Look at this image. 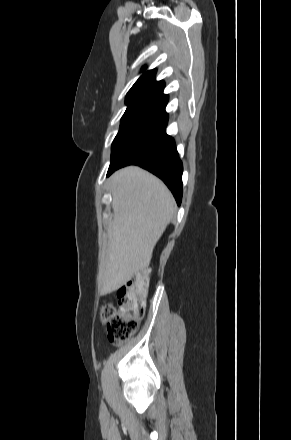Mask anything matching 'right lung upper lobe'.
<instances>
[{
  "label": "right lung upper lobe",
  "instance_id": "1",
  "mask_svg": "<svg viewBox=\"0 0 291 440\" xmlns=\"http://www.w3.org/2000/svg\"><path fill=\"white\" fill-rule=\"evenodd\" d=\"M156 70L143 73L136 83L132 86L126 96V103L134 101H155L163 95L165 83L155 80Z\"/></svg>",
  "mask_w": 291,
  "mask_h": 440
}]
</instances>
